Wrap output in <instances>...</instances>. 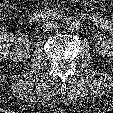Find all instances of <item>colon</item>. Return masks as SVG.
<instances>
[{
  "label": "colon",
  "instance_id": "colon-1",
  "mask_svg": "<svg viewBox=\"0 0 113 113\" xmlns=\"http://www.w3.org/2000/svg\"><path fill=\"white\" fill-rule=\"evenodd\" d=\"M3 1L4 0H0V6L2 5ZM13 38H14V33L10 29L6 27L0 28V59L9 50Z\"/></svg>",
  "mask_w": 113,
  "mask_h": 113
}]
</instances>
